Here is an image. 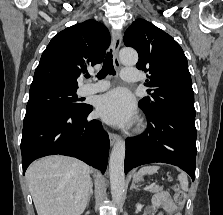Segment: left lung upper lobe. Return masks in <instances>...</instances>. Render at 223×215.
<instances>
[{
  "label": "left lung upper lobe",
  "mask_w": 223,
  "mask_h": 215,
  "mask_svg": "<svg viewBox=\"0 0 223 215\" xmlns=\"http://www.w3.org/2000/svg\"><path fill=\"white\" fill-rule=\"evenodd\" d=\"M124 44L138 52L136 67L150 74L144 84L150 96L140 100L139 107L150 113L171 111L195 116L187 58L179 44L144 19L135 20L126 30Z\"/></svg>",
  "instance_id": "5c2ea615"
}]
</instances>
